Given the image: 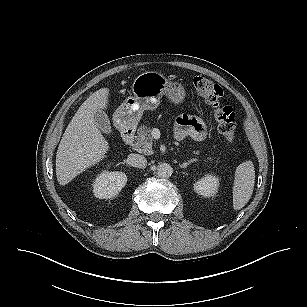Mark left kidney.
<instances>
[{
  "instance_id": "1",
  "label": "left kidney",
  "mask_w": 307,
  "mask_h": 307,
  "mask_svg": "<svg viewBox=\"0 0 307 307\" xmlns=\"http://www.w3.org/2000/svg\"><path fill=\"white\" fill-rule=\"evenodd\" d=\"M219 187V178L215 175H205L194 183V190L197 194L204 197H213L216 195Z\"/></svg>"
}]
</instances>
